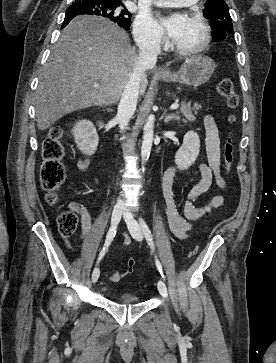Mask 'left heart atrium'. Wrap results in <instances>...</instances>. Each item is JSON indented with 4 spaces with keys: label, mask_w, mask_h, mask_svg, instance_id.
Here are the masks:
<instances>
[{
    "label": "left heart atrium",
    "mask_w": 276,
    "mask_h": 363,
    "mask_svg": "<svg viewBox=\"0 0 276 363\" xmlns=\"http://www.w3.org/2000/svg\"><path fill=\"white\" fill-rule=\"evenodd\" d=\"M184 22V16L182 14H174L162 19V25L172 39L176 38L179 34L182 24Z\"/></svg>",
    "instance_id": "39dd6f15"
}]
</instances>
